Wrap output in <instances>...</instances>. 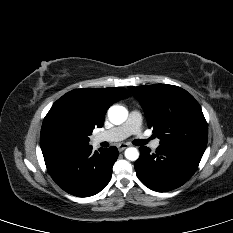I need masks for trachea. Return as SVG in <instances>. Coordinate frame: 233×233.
Masks as SVG:
<instances>
[{"instance_id": "trachea-1", "label": "trachea", "mask_w": 233, "mask_h": 233, "mask_svg": "<svg viewBox=\"0 0 233 233\" xmlns=\"http://www.w3.org/2000/svg\"><path fill=\"white\" fill-rule=\"evenodd\" d=\"M133 144L137 145V146H142V145L146 144V141L145 140H141V139H137V140L133 141Z\"/></svg>"}]
</instances>
